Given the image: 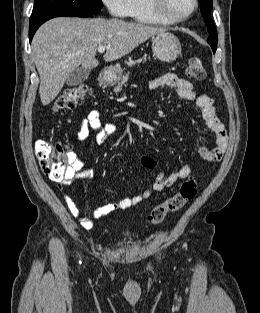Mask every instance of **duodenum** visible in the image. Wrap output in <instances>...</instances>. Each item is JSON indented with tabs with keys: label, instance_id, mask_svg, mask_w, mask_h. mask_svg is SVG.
Instances as JSON below:
<instances>
[{
	"label": "duodenum",
	"instance_id": "obj_1",
	"mask_svg": "<svg viewBox=\"0 0 260 313\" xmlns=\"http://www.w3.org/2000/svg\"><path fill=\"white\" fill-rule=\"evenodd\" d=\"M108 81V75L106 72L103 73L102 83L105 84Z\"/></svg>",
	"mask_w": 260,
	"mask_h": 313
}]
</instances>
